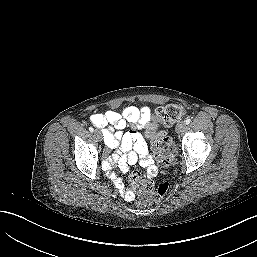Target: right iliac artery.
<instances>
[{"label":"right iliac artery","mask_w":257,"mask_h":257,"mask_svg":"<svg viewBox=\"0 0 257 257\" xmlns=\"http://www.w3.org/2000/svg\"><path fill=\"white\" fill-rule=\"evenodd\" d=\"M89 131H90V132H93L94 129H93L92 127H89Z\"/></svg>","instance_id":"82829eb1"}]
</instances>
